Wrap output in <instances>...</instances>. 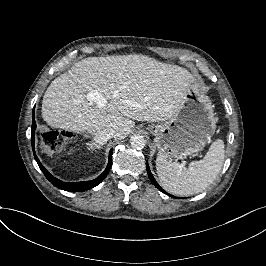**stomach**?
Segmentation results:
<instances>
[{"mask_svg": "<svg viewBox=\"0 0 266 266\" xmlns=\"http://www.w3.org/2000/svg\"><path fill=\"white\" fill-rule=\"evenodd\" d=\"M217 118L210 98L190 88L178 111L170 119L150 124L160 153L168 158L183 159L202 151L214 135Z\"/></svg>", "mask_w": 266, "mask_h": 266, "instance_id": "0dacf381", "label": "stomach"}]
</instances>
